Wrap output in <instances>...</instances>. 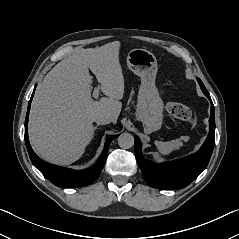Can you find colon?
I'll return each mask as SVG.
<instances>
[{
    "label": "colon",
    "mask_w": 239,
    "mask_h": 239,
    "mask_svg": "<svg viewBox=\"0 0 239 239\" xmlns=\"http://www.w3.org/2000/svg\"><path fill=\"white\" fill-rule=\"evenodd\" d=\"M167 111L175 118L187 122L191 126L196 125V120L191 109L185 105L176 102H167L166 103Z\"/></svg>",
    "instance_id": "1"
}]
</instances>
